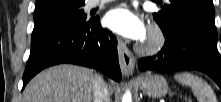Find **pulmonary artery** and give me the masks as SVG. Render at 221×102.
Segmentation results:
<instances>
[{
	"mask_svg": "<svg viewBox=\"0 0 221 102\" xmlns=\"http://www.w3.org/2000/svg\"><path fill=\"white\" fill-rule=\"evenodd\" d=\"M113 0H90L89 2V6L90 7H96L98 5H101V4H105V3H108V2H111Z\"/></svg>",
	"mask_w": 221,
	"mask_h": 102,
	"instance_id": "e3ab8cb5",
	"label": "pulmonary artery"
}]
</instances>
